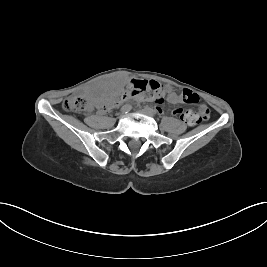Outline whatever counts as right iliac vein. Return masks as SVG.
Instances as JSON below:
<instances>
[{
    "label": "right iliac vein",
    "instance_id": "63e3f726",
    "mask_svg": "<svg viewBox=\"0 0 267 267\" xmlns=\"http://www.w3.org/2000/svg\"><path fill=\"white\" fill-rule=\"evenodd\" d=\"M124 116H125V114L124 113H121L119 117L122 118Z\"/></svg>",
    "mask_w": 267,
    "mask_h": 267
}]
</instances>
